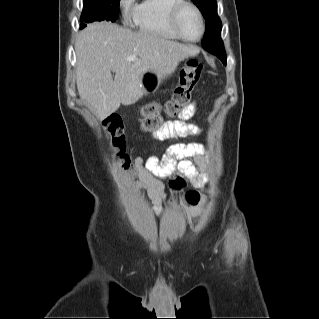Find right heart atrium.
Returning <instances> with one entry per match:
<instances>
[{"label":"right heart atrium","instance_id":"1","mask_svg":"<svg viewBox=\"0 0 319 319\" xmlns=\"http://www.w3.org/2000/svg\"><path fill=\"white\" fill-rule=\"evenodd\" d=\"M134 3V0H120V5L124 8L131 7Z\"/></svg>","mask_w":319,"mask_h":319}]
</instances>
